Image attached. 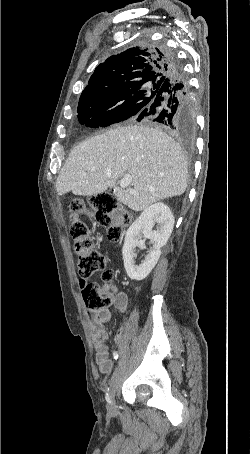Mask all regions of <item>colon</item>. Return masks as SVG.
<instances>
[{"label":"colon","instance_id":"colon-1","mask_svg":"<svg viewBox=\"0 0 250 454\" xmlns=\"http://www.w3.org/2000/svg\"><path fill=\"white\" fill-rule=\"evenodd\" d=\"M89 204L94 210L97 223L107 226L108 238L118 240L123 228L130 222L126 214L117 211L116 198L109 193H100L89 198ZM84 208L79 204H72L69 209L71 226L70 235L74 242L77 268L83 278H88L96 272H102L105 282L113 278V271L109 269L108 256L98 250L95 240L87 225L80 220ZM83 297L88 309L92 312L106 310L113 303V297L102 292L96 283H87L83 288Z\"/></svg>","mask_w":250,"mask_h":454}]
</instances>
